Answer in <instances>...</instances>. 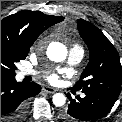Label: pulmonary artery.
<instances>
[{"label":"pulmonary artery","instance_id":"1","mask_svg":"<svg viewBox=\"0 0 122 122\" xmlns=\"http://www.w3.org/2000/svg\"><path fill=\"white\" fill-rule=\"evenodd\" d=\"M84 56V51L81 47L75 45L71 50L69 51V56H68V64L69 65H76L80 63V61L83 59ZM35 71L28 70V69H23L20 72V75L22 77L27 76V75H34ZM81 97H85V94H81Z\"/></svg>","mask_w":122,"mask_h":122}]
</instances>
